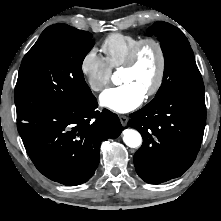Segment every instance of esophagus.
<instances>
[{
    "label": "esophagus",
    "mask_w": 221,
    "mask_h": 221,
    "mask_svg": "<svg viewBox=\"0 0 221 221\" xmlns=\"http://www.w3.org/2000/svg\"><path fill=\"white\" fill-rule=\"evenodd\" d=\"M119 118H120L121 124H122L123 126H126V125H127V122H128V117L125 116V115H120Z\"/></svg>",
    "instance_id": "1"
}]
</instances>
